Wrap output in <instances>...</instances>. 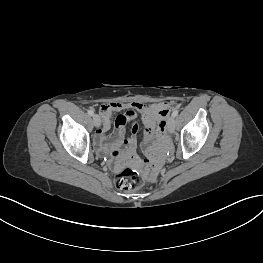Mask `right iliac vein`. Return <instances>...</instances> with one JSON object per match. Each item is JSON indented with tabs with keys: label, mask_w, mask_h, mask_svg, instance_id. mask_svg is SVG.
Masks as SVG:
<instances>
[{
	"label": "right iliac vein",
	"mask_w": 263,
	"mask_h": 263,
	"mask_svg": "<svg viewBox=\"0 0 263 263\" xmlns=\"http://www.w3.org/2000/svg\"><path fill=\"white\" fill-rule=\"evenodd\" d=\"M93 123L96 127H99L101 125V119H100L99 115H97V114L93 115Z\"/></svg>",
	"instance_id": "63e3f726"
}]
</instances>
